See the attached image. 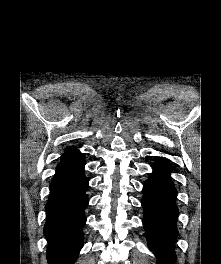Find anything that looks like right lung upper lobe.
Masks as SVG:
<instances>
[{"instance_id":"cb5924a9","label":"right lung upper lobe","mask_w":221,"mask_h":264,"mask_svg":"<svg viewBox=\"0 0 221 264\" xmlns=\"http://www.w3.org/2000/svg\"><path fill=\"white\" fill-rule=\"evenodd\" d=\"M79 154V151L75 148V147H70L68 149H66L63 158L69 157V156H73Z\"/></svg>"}]
</instances>
